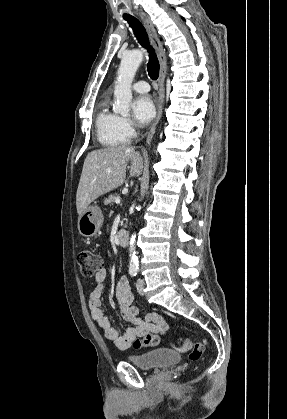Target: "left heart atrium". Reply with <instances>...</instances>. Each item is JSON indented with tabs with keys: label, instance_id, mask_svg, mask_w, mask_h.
I'll return each instance as SVG.
<instances>
[{
	"label": "left heart atrium",
	"instance_id": "left-heart-atrium-1",
	"mask_svg": "<svg viewBox=\"0 0 287 419\" xmlns=\"http://www.w3.org/2000/svg\"><path fill=\"white\" fill-rule=\"evenodd\" d=\"M132 112L135 120L144 125L148 123L155 115V104L148 95L137 97L132 103Z\"/></svg>",
	"mask_w": 287,
	"mask_h": 419
}]
</instances>
